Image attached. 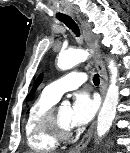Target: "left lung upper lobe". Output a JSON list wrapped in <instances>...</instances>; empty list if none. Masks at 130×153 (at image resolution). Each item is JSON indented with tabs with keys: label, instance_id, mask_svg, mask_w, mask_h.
Instances as JSON below:
<instances>
[{
	"label": "left lung upper lobe",
	"instance_id": "5c2ea615",
	"mask_svg": "<svg viewBox=\"0 0 130 153\" xmlns=\"http://www.w3.org/2000/svg\"><path fill=\"white\" fill-rule=\"evenodd\" d=\"M41 80H42V75H40V76L38 77L37 81L35 82V85H34L32 91H31V93H30V95H29V98L32 96V94H33L34 91L36 90L37 86L40 84Z\"/></svg>",
	"mask_w": 130,
	"mask_h": 153
}]
</instances>
